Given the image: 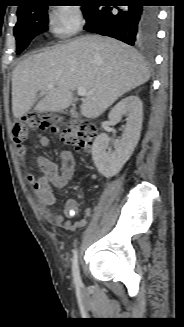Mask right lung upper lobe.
<instances>
[{
  "label": "right lung upper lobe",
  "mask_w": 184,
  "mask_h": 327,
  "mask_svg": "<svg viewBox=\"0 0 184 327\" xmlns=\"http://www.w3.org/2000/svg\"><path fill=\"white\" fill-rule=\"evenodd\" d=\"M41 1L42 0H20L21 5L19 6L18 11L31 7Z\"/></svg>",
  "instance_id": "1"
}]
</instances>
